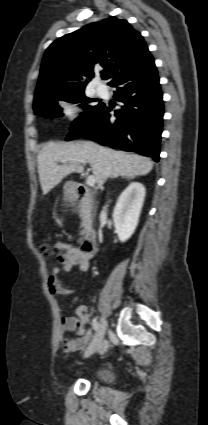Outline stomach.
I'll return each instance as SVG.
<instances>
[{
  "label": "stomach",
  "instance_id": "0dacf381",
  "mask_svg": "<svg viewBox=\"0 0 208 425\" xmlns=\"http://www.w3.org/2000/svg\"><path fill=\"white\" fill-rule=\"evenodd\" d=\"M65 195L68 198H72L75 195V183L67 182L64 186Z\"/></svg>",
  "mask_w": 208,
  "mask_h": 425
}]
</instances>
